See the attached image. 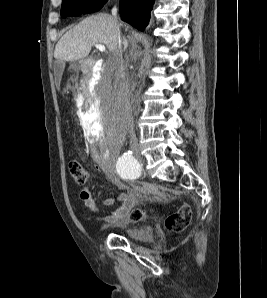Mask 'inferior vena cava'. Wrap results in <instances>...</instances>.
<instances>
[{"label": "inferior vena cava", "mask_w": 267, "mask_h": 298, "mask_svg": "<svg viewBox=\"0 0 267 298\" xmlns=\"http://www.w3.org/2000/svg\"><path fill=\"white\" fill-rule=\"evenodd\" d=\"M112 15L115 20V30L118 36V45L116 49L112 52L110 59V69L115 70V76L118 79L117 96L115 101V106L121 115V117L132 127V109H131V91L129 85L126 81V66L122 59V49L120 40V30L117 24V8L112 9Z\"/></svg>", "instance_id": "602c4592"}]
</instances>
